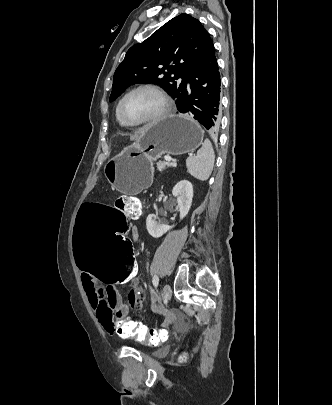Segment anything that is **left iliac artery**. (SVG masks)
I'll return each instance as SVG.
<instances>
[{"instance_id": "44dca946", "label": "left iliac artery", "mask_w": 332, "mask_h": 405, "mask_svg": "<svg viewBox=\"0 0 332 405\" xmlns=\"http://www.w3.org/2000/svg\"><path fill=\"white\" fill-rule=\"evenodd\" d=\"M152 282H153V285H154L155 287H157V286H158V283H159V278H158V276H154Z\"/></svg>"}]
</instances>
